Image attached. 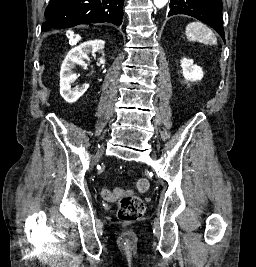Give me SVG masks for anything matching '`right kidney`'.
Returning <instances> with one entry per match:
<instances>
[{
    "instance_id": "right-kidney-1",
    "label": "right kidney",
    "mask_w": 256,
    "mask_h": 267,
    "mask_svg": "<svg viewBox=\"0 0 256 267\" xmlns=\"http://www.w3.org/2000/svg\"><path fill=\"white\" fill-rule=\"evenodd\" d=\"M104 46L105 42H103V40H89V42H83V44L72 48V50L68 52L60 72V94L68 104L77 102L80 96H83L89 88V84H83V86L71 90V84L76 80V74L72 72L73 68H75L76 64L84 66V60L88 58L87 54H92V56H94L95 52L102 54V58H99V64H105Z\"/></svg>"
}]
</instances>
